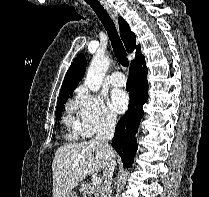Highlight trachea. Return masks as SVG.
Here are the masks:
<instances>
[{
	"label": "trachea",
	"mask_w": 209,
	"mask_h": 197,
	"mask_svg": "<svg viewBox=\"0 0 209 197\" xmlns=\"http://www.w3.org/2000/svg\"><path fill=\"white\" fill-rule=\"evenodd\" d=\"M85 1L94 10L101 23L103 24L105 30L107 31L115 57L117 58L118 62L123 67H127L129 65L127 54L122 44V41L117 33L113 20L97 0Z\"/></svg>",
	"instance_id": "trachea-1"
}]
</instances>
